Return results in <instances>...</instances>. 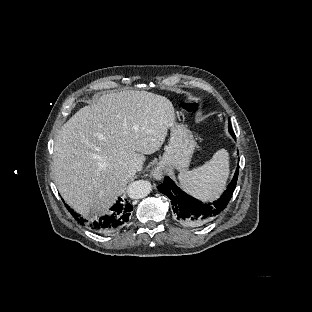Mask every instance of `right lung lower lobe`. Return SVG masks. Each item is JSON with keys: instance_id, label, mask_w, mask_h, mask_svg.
<instances>
[{"instance_id": "obj_1", "label": "right lung lower lobe", "mask_w": 312, "mask_h": 312, "mask_svg": "<svg viewBox=\"0 0 312 312\" xmlns=\"http://www.w3.org/2000/svg\"><path fill=\"white\" fill-rule=\"evenodd\" d=\"M67 209L72 216L82 225H86L92 231L103 234L111 233L116 231L121 226L129 221L131 211L133 210L132 205L122 198H118L116 203L110 208V214L100 217L98 220H88L71 210L67 205Z\"/></svg>"}]
</instances>
